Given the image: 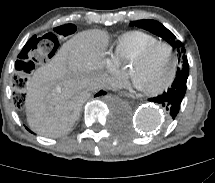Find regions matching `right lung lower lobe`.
Here are the masks:
<instances>
[{"label":"right lung lower lobe","instance_id":"98d812e1","mask_svg":"<svg viewBox=\"0 0 215 183\" xmlns=\"http://www.w3.org/2000/svg\"><path fill=\"white\" fill-rule=\"evenodd\" d=\"M106 93L104 91H100L99 93L96 94V96H99V95H105Z\"/></svg>","mask_w":215,"mask_h":183}]
</instances>
